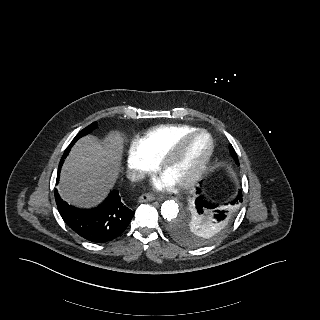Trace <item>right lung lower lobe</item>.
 Masks as SVG:
<instances>
[{
	"instance_id": "98d812e1",
	"label": "right lung lower lobe",
	"mask_w": 320,
	"mask_h": 320,
	"mask_svg": "<svg viewBox=\"0 0 320 320\" xmlns=\"http://www.w3.org/2000/svg\"><path fill=\"white\" fill-rule=\"evenodd\" d=\"M61 168H58L57 181ZM55 200L64 222L84 239L103 243L117 238L129 225L134 216L122 201L119 192L113 190L98 207L80 209L63 201L57 190Z\"/></svg>"
}]
</instances>
